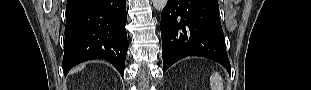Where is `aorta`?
Listing matches in <instances>:
<instances>
[{"instance_id": "762f6f07", "label": "aorta", "mask_w": 311, "mask_h": 90, "mask_svg": "<svg viewBox=\"0 0 311 90\" xmlns=\"http://www.w3.org/2000/svg\"><path fill=\"white\" fill-rule=\"evenodd\" d=\"M152 2L157 11H162L167 4V0H152Z\"/></svg>"}]
</instances>
